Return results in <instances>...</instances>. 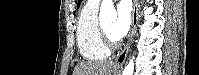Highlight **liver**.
<instances>
[{
    "mask_svg": "<svg viewBox=\"0 0 199 75\" xmlns=\"http://www.w3.org/2000/svg\"><path fill=\"white\" fill-rule=\"evenodd\" d=\"M73 75H116V70L111 62H82Z\"/></svg>",
    "mask_w": 199,
    "mask_h": 75,
    "instance_id": "liver-1",
    "label": "liver"
}]
</instances>
